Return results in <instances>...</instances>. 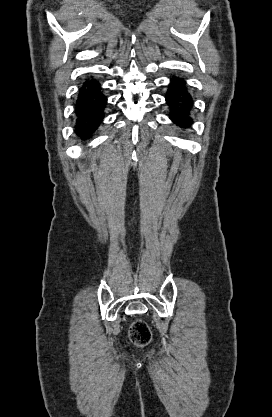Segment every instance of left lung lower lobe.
Listing matches in <instances>:
<instances>
[{"instance_id": "left-lung-lower-lobe-1", "label": "left lung lower lobe", "mask_w": 272, "mask_h": 417, "mask_svg": "<svg viewBox=\"0 0 272 417\" xmlns=\"http://www.w3.org/2000/svg\"><path fill=\"white\" fill-rule=\"evenodd\" d=\"M166 101L171 111L170 119L180 127L188 128L192 124L190 113L193 109V101L186 82L174 77L168 87Z\"/></svg>"}]
</instances>
